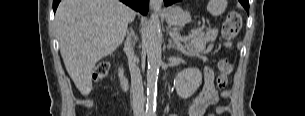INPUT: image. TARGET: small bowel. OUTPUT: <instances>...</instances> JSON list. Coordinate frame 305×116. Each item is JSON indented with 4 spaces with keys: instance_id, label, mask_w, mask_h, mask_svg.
I'll return each mask as SVG.
<instances>
[{
    "instance_id": "c3829d8e",
    "label": "small bowel",
    "mask_w": 305,
    "mask_h": 116,
    "mask_svg": "<svg viewBox=\"0 0 305 116\" xmlns=\"http://www.w3.org/2000/svg\"><path fill=\"white\" fill-rule=\"evenodd\" d=\"M204 83L196 97L190 103L187 115L188 116H212L210 109L214 106L219 98L218 91L214 83V72L210 67H205L203 70ZM221 97H229V92L221 93ZM227 110L224 106H219L216 109V114L221 115Z\"/></svg>"
}]
</instances>
